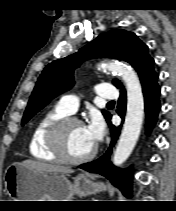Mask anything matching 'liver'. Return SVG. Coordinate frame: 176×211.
<instances>
[{
	"mask_svg": "<svg viewBox=\"0 0 176 211\" xmlns=\"http://www.w3.org/2000/svg\"><path fill=\"white\" fill-rule=\"evenodd\" d=\"M21 164L28 168L47 173L71 174L74 172L70 167L48 164L35 160H25Z\"/></svg>",
	"mask_w": 176,
	"mask_h": 211,
	"instance_id": "6515ba94",
	"label": "liver"
}]
</instances>
